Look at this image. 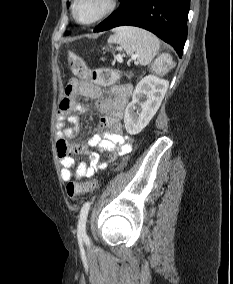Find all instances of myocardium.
I'll list each match as a JSON object with an SVG mask.
<instances>
[{"label": "myocardium", "instance_id": "myocardium-1", "mask_svg": "<svg viewBox=\"0 0 233 284\" xmlns=\"http://www.w3.org/2000/svg\"><path fill=\"white\" fill-rule=\"evenodd\" d=\"M80 2V0H73L72 3V7H71V11H72V15L74 20L81 24V25H93L103 19H105L106 17H108L110 14H112L118 7L119 1L118 0H107L106 1V6L105 8L102 10V12L97 15L95 18L88 20V21H83L81 19L78 18L77 13H76V9H77V5Z\"/></svg>", "mask_w": 233, "mask_h": 284}]
</instances>
